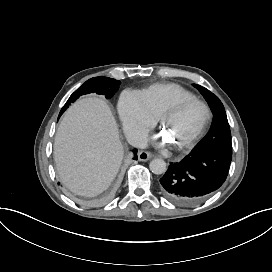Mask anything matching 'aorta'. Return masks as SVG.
Listing matches in <instances>:
<instances>
[{"mask_svg": "<svg viewBox=\"0 0 272 272\" xmlns=\"http://www.w3.org/2000/svg\"><path fill=\"white\" fill-rule=\"evenodd\" d=\"M149 168L154 174L157 175L163 174L167 170L166 162L163 159L159 158L153 159L149 164Z\"/></svg>", "mask_w": 272, "mask_h": 272, "instance_id": "aorta-1", "label": "aorta"}]
</instances>
